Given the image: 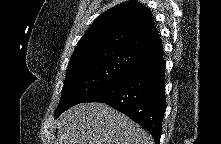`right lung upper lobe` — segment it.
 I'll return each mask as SVG.
<instances>
[{
  "label": "right lung upper lobe",
  "instance_id": "1",
  "mask_svg": "<svg viewBox=\"0 0 221 144\" xmlns=\"http://www.w3.org/2000/svg\"><path fill=\"white\" fill-rule=\"evenodd\" d=\"M151 12L130 0L98 16L79 40L69 63L98 52L120 50L140 56L161 46Z\"/></svg>",
  "mask_w": 221,
  "mask_h": 144
}]
</instances>
